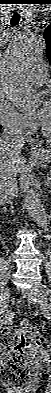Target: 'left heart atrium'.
Segmentation results:
<instances>
[{
	"instance_id": "1",
	"label": "left heart atrium",
	"mask_w": 51,
	"mask_h": 393,
	"mask_svg": "<svg viewBox=\"0 0 51 393\" xmlns=\"http://www.w3.org/2000/svg\"><path fill=\"white\" fill-rule=\"evenodd\" d=\"M48 104H44L39 113L37 114L36 120L39 124L43 125L46 121L47 114H48Z\"/></svg>"
}]
</instances>
